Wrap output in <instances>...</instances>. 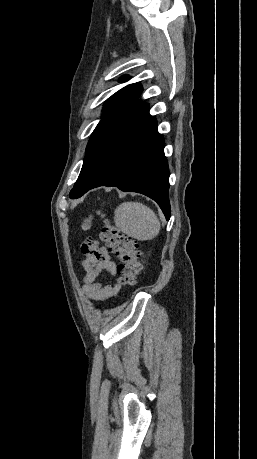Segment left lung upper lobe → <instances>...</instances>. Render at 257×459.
<instances>
[{"mask_svg":"<svg viewBox=\"0 0 257 459\" xmlns=\"http://www.w3.org/2000/svg\"><path fill=\"white\" fill-rule=\"evenodd\" d=\"M128 79L129 76L125 75L120 81L123 82ZM141 92L142 88L139 83L130 84L106 101L103 108L105 116L95 128L88 142L82 170L69 194L70 198L81 197L92 185L100 166L101 145L107 131L133 107Z\"/></svg>","mask_w":257,"mask_h":459,"instance_id":"obj_1","label":"left lung upper lobe"}]
</instances>
